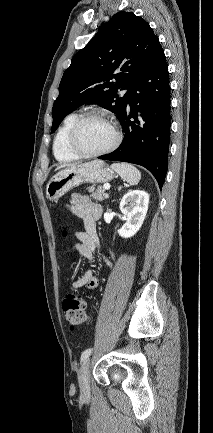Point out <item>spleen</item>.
<instances>
[{
    "label": "spleen",
    "mask_w": 213,
    "mask_h": 433,
    "mask_svg": "<svg viewBox=\"0 0 213 433\" xmlns=\"http://www.w3.org/2000/svg\"><path fill=\"white\" fill-rule=\"evenodd\" d=\"M111 168L117 172L120 177L130 185H137L141 179L140 171L128 163H114Z\"/></svg>",
    "instance_id": "1"
}]
</instances>
